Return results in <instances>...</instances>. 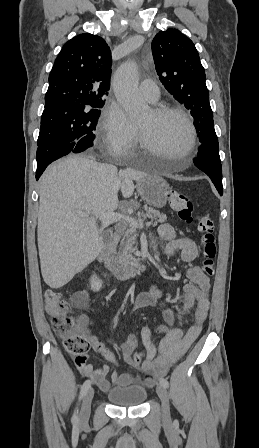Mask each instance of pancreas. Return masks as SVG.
<instances>
[{"instance_id":"1","label":"pancreas","mask_w":259,"mask_h":448,"mask_svg":"<svg viewBox=\"0 0 259 448\" xmlns=\"http://www.w3.org/2000/svg\"><path fill=\"white\" fill-rule=\"evenodd\" d=\"M143 218H150L151 222H153V226H157L158 222L159 224H163V222H166L167 220L166 214H160L158 210H153V208H145ZM137 236L138 234L135 228H129L120 242L118 258L121 262H124V264H129V266H133V262H139L135 256H132L133 252L137 250L135 246Z\"/></svg>"}]
</instances>
